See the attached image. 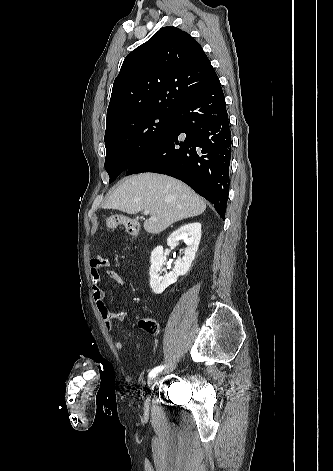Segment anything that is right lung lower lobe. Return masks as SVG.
Masks as SVG:
<instances>
[{
    "mask_svg": "<svg viewBox=\"0 0 333 471\" xmlns=\"http://www.w3.org/2000/svg\"><path fill=\"white\" fill-rule=\"evenodd\" d=\"M231 133L219 79L186 101L172 126L127 170L155 172L188 184L225 220L229 193Z\"/></svg>",
    "mask_w": 333,
    "mask_h": 471,
    "instance_id": "98d812e1",
    "label": "right lung lower lobe"
}]
</instances>
